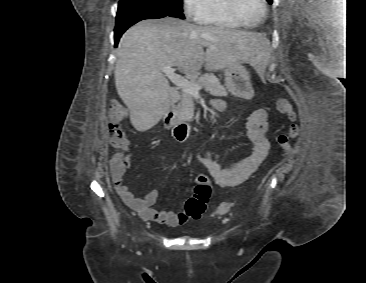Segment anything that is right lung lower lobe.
<instances>
[{
  "label": "right lung lower lobe",
  "mask_w": 366,
  "mask_h": 283,
  "mask_svg": "<svg viewBox=\"0 0 366 283\" xmlns=\"http://www.w3.org/2000/svg\"><path fill=\"white\" fill-rule=\"evenodd\" d=\"M167 15L154 13V12H141L137 14L123 15L116 17V26H115V46L118 45V41L122 34L133 24L151 18H163Z\"/></svg>",
  "instance_id": "obj_1"
}]
</instances>
